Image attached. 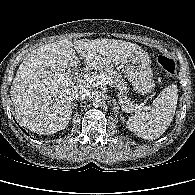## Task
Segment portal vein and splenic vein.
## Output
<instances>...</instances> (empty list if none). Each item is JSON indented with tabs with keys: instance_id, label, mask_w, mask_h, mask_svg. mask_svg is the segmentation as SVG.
I'll return each mask as SVG.
<instances>
[{
	"instance_id": "obj_1",
	"label": "portal vein and splenic vein",
	"mask_w": 195,
	"mask_h": 195,
	"mask_svg": "<svg viewBox=\"0 0 195 195\" xmlns=\"http://www.w3.org/2000/svg\"><path fill=\"white\" fill-rule=\"evenodd\" d=\"M84 78H86V82L88 84H90L93 87H96L98 85H110L111 87H113L112 85V79L110 77H108L105 74H100V75H89V74H84L83 75ZM121 108L123 111L125 112H129L130 110L126 107H124V105L122 104V102H120ZM143 106L139 105L135 108H132L131 110L133 111H138V110H142Z\"/></svg>"
}]
</instances>
